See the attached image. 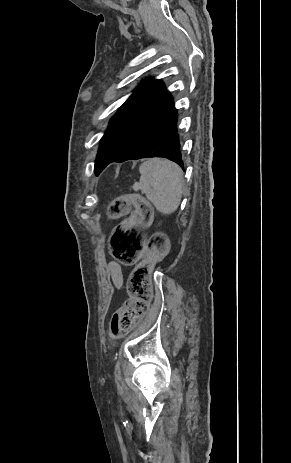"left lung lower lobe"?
<instances>
[{
  "instance_id": "left-lung-lower-lobe-1",
  "label": "left lung lower lobe",
  "mask_w": 291,
  "mask_h": 463,
  "mask_svg": "<svg viewBox=\"0 0 291 463\" xmlns=\"http://www.w3.org/2000/svg\"><path fill=\"white\" fill-rule=\"evenodd\" d=\"M177 111L174 109L162 122L153 128L142 142L120 158L95 164L98 175L110 162H124L150 157H163L177 163L182 169L181 143L177 133Z\"/></svg>"
}]
</instances>
